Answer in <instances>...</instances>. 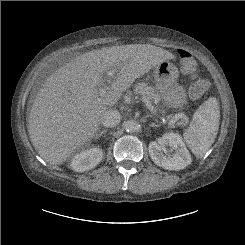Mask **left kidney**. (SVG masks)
<instances>
[{
  "mask_svg": "<svg viewBox=\"0 0 245 245\" xmlns=\"http://www.w3.org/2000/svg\"><path fill=\"white\" fill-rule=\"evenodd\" d=\"M168 147L171 151L164 154ZM149 154L153 162L167 170H181L192 162L182 137L177 133H165L158 141H152L148 146Z\"/></svg>",
  "mask_w": 245,
  "mask_h": 245,
  "instance_id": "obj_1",
  "label": "left kidney"
}]
</instances>
